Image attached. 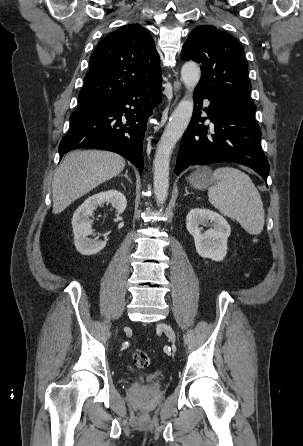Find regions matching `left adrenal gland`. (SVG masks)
<instances>
[{
	"mask_svg": "<svg viewBox=\"0 0 303 446\" xmlns=\"http://www.w3.org/2000/svg\"><path fill=\"white\" fill-rule=\"evenodd\" d=\"M188 194H190V193L188 192L187 188H185V194H184V196H187Z\"/></svg>",
	"mask_w": 303,
	"mask_h": 446,
	"instance_id": "left-adrenal-gland-1",
	"label": "left adrenal gland"
}]
</instances>
